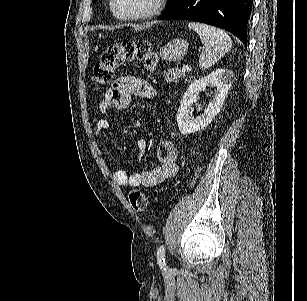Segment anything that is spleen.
Instances as JSON below:
<instances>
[{"label":"spleen","instance_id":"spleen-1","mask_svg":"<svg viewBox=\"0 0 307 301\" xmlns=\"http://www.w3.org/2000/svg\"><path fill=\"white\" fill-rule=\"evenodd\" d=\"M188 26L199 34L205 46L199 56V66L202 70L213 66L221 56L231 50L232 38L225 30L202 22H188Z\"/></svg>","mask_w":307,"mask_h":301}]
</instances>
